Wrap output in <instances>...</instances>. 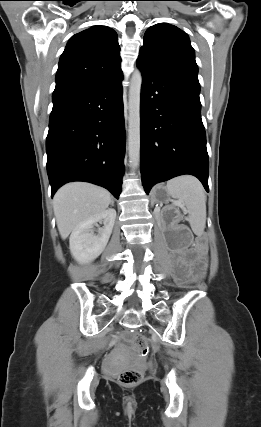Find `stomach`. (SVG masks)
Wrapping results in <instances>:
<instances>
[{
	"label": "stomach",
	"instance_id": "obj_1",
	"mask_svg": "<svg viewBox=\"0 0 261 427\" xmlns=\"http://www.w3.org/2000/svg\"><path fill=\"white\" fill-rule=\"evenodd\" d=\"M152 201L156 203H166L170 199V194L164 186H157L152 192Z\"/></svg>",
	"mask_w": 261,
	"mask_h": 427
}]
</instances>
